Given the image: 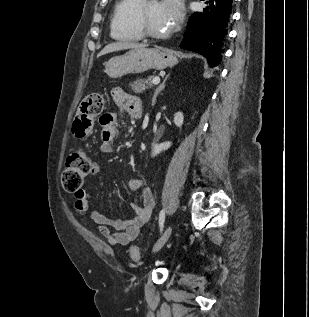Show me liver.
I'll use <instances>...</instances> for the list:
<instances>
[{
	"label": "liver",
	"mask_w": 309,
	"mask_h": 317,
	"mask_svg": "<svg viewBox=\"0 0 309 317\" xmlns=\"http://www.w3.org/2000/svg\"><path fill=\"white\" fill-rule=\"evenodd\" d=\"M146 47V44L131 43V42H114L103 48V50L98 54L97 57L106 55L108 53L125 50V49H135Z\"/></svg>",
	"instance_id": "liver-1"
}]
</instances>
